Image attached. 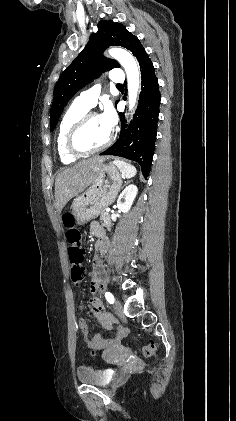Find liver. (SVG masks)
Returning <instances> with one entry per match:
<instances>
[{
  "label": "liver",
  "instance_id": "obj_1",
  "mask_svg": "<svg viewBox=\"0 0 236 421\" xmlns=\"http://www.w3.org/2000/svg\"><path fill=\"white\" fill-rule=\"evenodd\" d=\"M106 160V156H92L82 162H77L70 168L59 170L55 178V200L58 213H61L66 202L72 196H78L83 190L88 178L92 176L91 170H96L99 164Z\"/></svg>",
  "mask_w": 236,
  "mask_h": 421
}]
</instances>
